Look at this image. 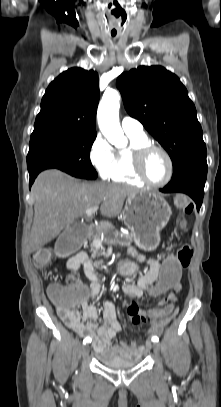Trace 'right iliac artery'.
I'll return each instance as SVG.
<instances>
[{"label": "right iliac artery", "instance_id": "1", "mask_svg": "<svg viewBox=\"0 0 221 407\" xmlns=\"http://www.w3.org/2000/svg\"><path fill=\"white\" fill-rule=\"evenodd\" d=\"M90 342H91V339H90L89 337H86V338L83 340V344L90 343Z\"/></svg>", "mask_w": 221, "mask_h": 407}]
</instances>
